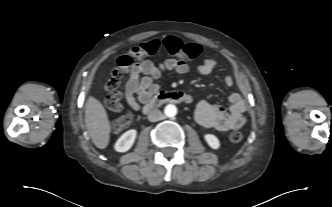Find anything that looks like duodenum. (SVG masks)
I'll return each instance as SVG.
<instances>
[{
    "label": "duodenum",
    "mask_w": 332,
    "mask_h": 207,
    "mask_svg": "<svg viewBox=\"0 0 332 207\" xmlns=\"http://www.w3.org/2000/svg\"><path fill=\"white\" fill-rule=\"evenodd\" d=\"M190 98L187 94L181 91L165 92L161 91L157 93L150 101H148L143 107V113H148L156 107H159L166 103H189Z\"/></svg>",
    "instance_id": "duodenum-1"
}]
</instances>
